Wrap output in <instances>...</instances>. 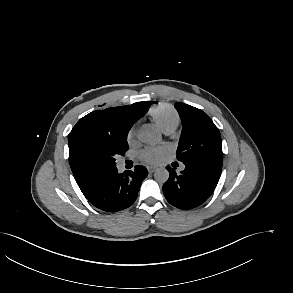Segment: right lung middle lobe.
<instances>
[{
    "mask_svg": "<svg viewBox=\"0 0 293 293\" xmlns=\"http://www.w3.org/2000/svg\"><path fill=\"white\" fill-rule=\"evenodd\" d=\"M131 126L117 137H103L92 142L89 146L90 156L98 162L116 166L117 155L124 156L129 146L127 143V134Z\"/></svg>",
    "mask_w": 293,
    "mask_h": 293,
    "instance_id": "obj_1",
    "label": "right lung middle lobe"
}]
</instances>
